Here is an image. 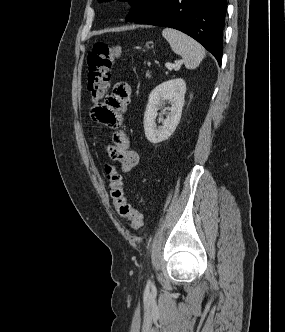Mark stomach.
<instances>
[{"label":"stomach","mask_w":285,"mask_h":332,"mask_svg":"<svg viewBox=\"0 0 285 332\" xmlns=\"http://www.w3.org/2000/svg\"><path fill=\"white\" fill-rule=\"evenodd\" d=\"M149 44H150V43H147V44H146V47H149Z\"/></svg>","instance_id":"stomach-1"}]
</instances>
